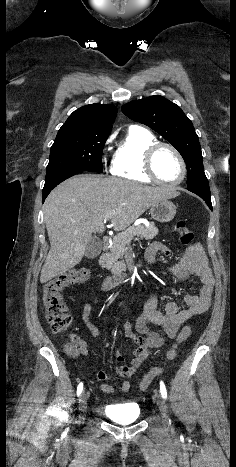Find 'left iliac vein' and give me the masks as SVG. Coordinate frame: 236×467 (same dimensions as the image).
<instances>
[{
    "instance_id": "4c4485c4",
    "label": "left iliac vein",
    "mask_w": 236,
    "mask_h": 467,
    "mask_svg": "<svg viewBox=\"0 0 236 467\" xmlns=\"http://www.w3.org/2000/svg\"><path fill=\"white\" fill-rule=\"evenodd\" d=\"M155 399L159 408V411L165 421V423H168V414H167V405L163 399V397L159 394H155Z\"/></svg>"
}]
</instances>
